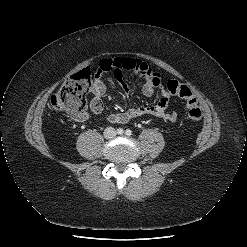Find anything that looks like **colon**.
<instances>
[{
	"mask_svg": "<svg viewBox=\"0 0 247 247\" xmlns=\"http://www.w3.org/2000/svg\"><path fill=\"white\" fill-rule=\"evenodd\" d=\"M91 72L83 69L66 79L52 95L49 108L53 111H65L70 115L83 112L90 90ZM168 92L186 102L188 117L192 121L200 120L202 110L192 90L176 80H171L166 86Z\"/></svg>",
	"mask_w": 247,
	"mask_h": 247,
	"instance_id": "5ec220e1",
	"label": "colon"
}]
</instances>
